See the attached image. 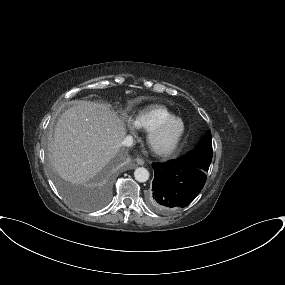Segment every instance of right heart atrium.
<instances>
[{"label":"right heart atrium","mask_w":285,"mask_h":285,"mask_svg":"<svg viewBox=\"0 0 285 285\" xmlns=\"http://www.w3.org/2000/svg\"><path fill=\"white\" fill-rule=\"evenodd\" d=\"M128 129L130 130L131 133H134L136 130L134 123L128 122Z\"/></svg>","instance_id":"1"}]
</instances>
